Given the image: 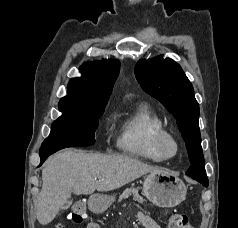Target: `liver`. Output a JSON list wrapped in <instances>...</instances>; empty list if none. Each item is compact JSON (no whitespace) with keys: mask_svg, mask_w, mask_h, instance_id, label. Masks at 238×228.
<instances>
[{"mask_svg":"<svg viewBox=\"0 0 238 228\" xmlns=\"http://www.w3.org/2000/svg\"><path fill=\"white\" fill-rule=\"evenodd\" d=\"M162 171L126 155L60 152L42 170V189L35 204L37 220L41 225L50 223L69 203L71 193L111 191L145 174Z\"/></svg>","mask_w":238,"mask_h":228,"instance_id":"6515ba94","label":"liver"}]
</instances>
